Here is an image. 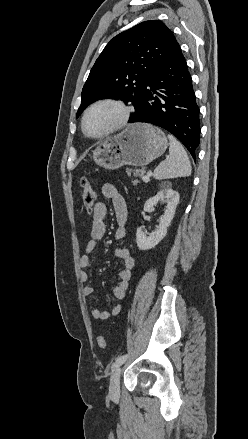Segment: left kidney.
I'll return each instance as SVG.
<instances>
[{
	"label": "left kidney",
	"instance_id": "1",
	"mask_svg": "<svg viewBox=\"0 0 248 439\" xmlns=\"http://www.w3.org/2000/svg\"><path fill=\"white\" fill-rule=\"evenodd\" d=\"M167 203L164 215L161 216L157 229L148 236L141 227L136 232V243L139 250H149L154 248L167 234V228L174 218L176 207L179 203L178 192L168 186L162 189L153 197L149 198L144 204L145 212L154 211V206L158 203Z\"/></svg>",
	"mask_w": 248,
	"mask_h": 439
}]
</instances>
